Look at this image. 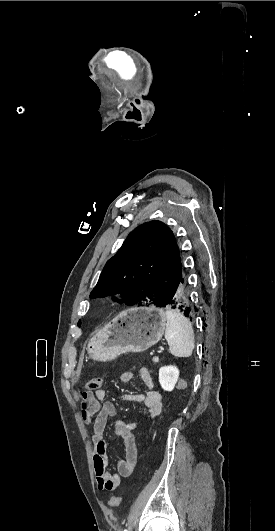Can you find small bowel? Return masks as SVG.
<instances>
[{"label": "small bowel", "mask_w": 275, "mask_h": 531, "mask_svg": "<svg viewBox=\"0 0 275 531\" xmlns=\"http://www.w3.org/2000/svg\"><path fill=\"white\" fill-rule=\"evenodd\" d=\"M140 379L144 385V393L128 392L122 396L126 402L141 403L147 410L151 419H156L162 410V397L156 389L154 380L147 368L139 371ZM133 378L131 371H125L120 376L122 383H129ZM82 419L87 425H92L93 435V466L100 490L113 491L121 486L122 479L131 476L137 464L138 448L134 436L138 422H125L117 420L114 425L115 435L123 440L125 454L118 458L116 472L108 470V453L110 444L104 437L105 427L109 417L117 415L113 402L106 401V391L100 389L82 395Z\"/></svg>", "instance_id": "1"}]
</instances>
